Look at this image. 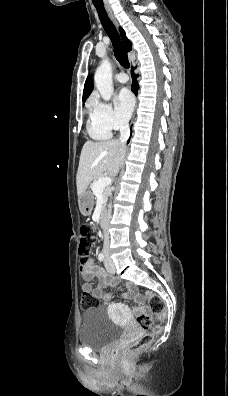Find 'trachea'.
Here are the masks:
<instances>
[{"label":"trachea","mask_w":228,"mask_h":396,"mask_svg":"<svg viewBox=\"0 0 228 396\" xmlns=\"http://www.w3.org/2000/svg\"><path fill=\"white\" fill-rule=\"evenodd\" d=\"M95 8L98 12L102 26L112 42L116 59L124 68H130L127 53L124 49L118 31L109 19L105 8L100 6H95Z\"/></svg>","instance_id":"3493384b"}]
</instances>
